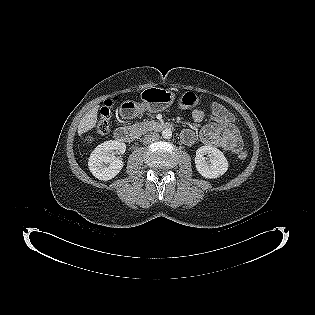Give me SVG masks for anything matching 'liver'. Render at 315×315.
I'll return each instance as SVG.
<instances>
[{"mask_svg":"<svg viewBox=\"0 0 315 315\" xmlns=\"http://www.w3.org/2000/svg\"><path fill=\"white\" fill-rule=\"evenodd\" d=\"M98 109H99V106L93 107L81 119V121L78 125L79 135H82L83 133L91 130L92 128H94L96 126Z\"/></svg>","mask_w":315,"mask_h":315,"instance_id":"6515ba94","label":"liver"}]
</instances>
